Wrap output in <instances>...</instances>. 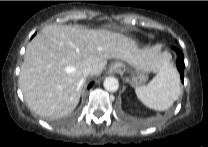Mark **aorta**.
Instances as JSON below:
<instances>
[{
	"mask_svg": "<svg viewBox=\"0 0 208 147\" xmlns=\"http://www.w3.org/2000/svg\"><path fill=\"white\" fill-rule=\"evenodd\" d=\"M104 88L107 91L115 92L119 88V82L115 77H107L103 82Z\"/></svg>",
	"mask_w": 208,
	"mask_h": 147,
	"instance_id": "aorta-1",
	"label": "aorta"
}]
</instances>
